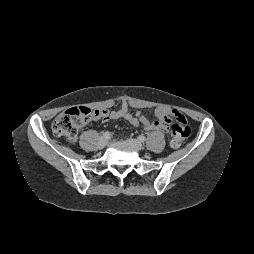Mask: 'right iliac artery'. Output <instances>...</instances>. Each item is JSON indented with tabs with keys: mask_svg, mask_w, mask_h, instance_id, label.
Listing matches in <instances>:
<instances>
[{
	"mask_svg": "<svg viewBox=\"0 0 254 254\" xmlns=\"http://www.w3.org/2000/svg\"><path fill=\"white\" fill-rule=\"evenodd\" d=\"M103 137H105L106 139H108V138L111 137V133L107 131V132L103 133Z\"/></svg>",
	"mask_w": 254,
	"mask_h": 254,
	"instance_id": "1",
	"label": "right iliac artery"
}]
</instances>
